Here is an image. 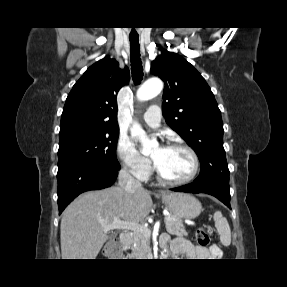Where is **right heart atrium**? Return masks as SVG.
I'll use <instances>...</instances> for the list:
<instances>
[{
    "label": "right heart atrium",
    "instance_id": "right-heart-atrium-1",
    "mask_svg": "<svg viewBox=\"0 0 287 287\" xmlns=\"http://www.w3.org/2000/svg\"><path fill=\"white\" fill-rule=\"evenodd\" d=\"M121 165L139 180H146L152 172L151 161L143 156L131 140L120 137L116 147Z\"/></svg>",
    "mask_w": 287,
    "mask_h": 287
}]
</instances>
